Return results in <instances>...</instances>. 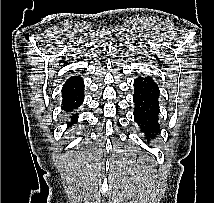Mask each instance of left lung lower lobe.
Listing matches in <instances>:
<instances>
[{"instance_id":"0a47b994","label":"left lung lower lobe","mask_w":214,"mask_h":203,"mask_svg":"<svg viewBox=\"0 0 214 203\" xmlns=\"http://www.w3.org/2000/svg\"><path fill=\"white\" fill-rule=\"evenodd\" d=\"M135 92L133 102H135L134 121L145 133L147 141L156 137L159 132L158 123V97L159 88L151 77L139 76L134 80Z\"/></svg>"}]
</instances>
